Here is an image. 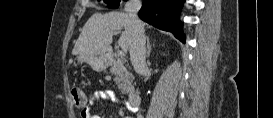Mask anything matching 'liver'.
<instances>
[{
  "mask_svg": "<svg viewBox=\"0 0 273 118\" xmlns=\"http://www.w3.org/2000/svg\"><path fill=\"white\" fill-rule=\"evenodd\" d=\"M142 23V22H141ZM144 28L145 24L142 23ZM124 28L118 44L125 51L130 49L133 27L130 17L123 12L95 13L85 23L72 50L73 55L104 53L112 43L113 33Z\"/></svg>",
  "mask_w": 273,
  "mask_h": 118,
  "instance_id": "liver-1",
  "label": "liver"
}]
</instances>
